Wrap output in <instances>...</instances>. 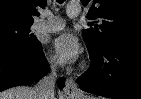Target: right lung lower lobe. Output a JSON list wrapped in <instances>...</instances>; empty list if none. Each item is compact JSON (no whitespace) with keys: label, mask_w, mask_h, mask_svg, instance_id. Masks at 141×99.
I'll return each mask as SVG.
<instances>
[{"label":"right lung lower lobe","mask_w":141,"mask_h":99,"mask_svg":"<svg viewBox=\"0 0 141 99\" xmlns=\"http://www.w3.org/2000/svg\"><path fill=\"white\" fill-rule=\"evenodd\" d=\"M49 69L41 43L31 47L0 46V91L18 85H30ZM63 88L64 80H58Z\"/></svg>","instance_id":"obj_1"}]
</instances>
